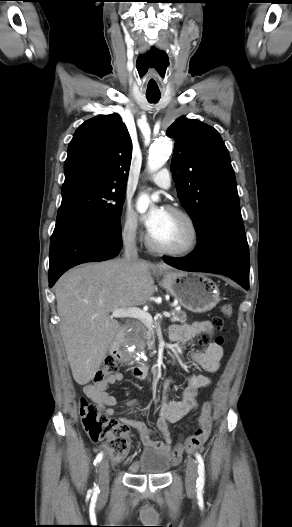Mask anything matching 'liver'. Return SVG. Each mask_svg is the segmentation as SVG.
<instances>
[{
    "mask_svg": "<svg viewBox=\"0 0 292 527\" xmlns=\"http://www.w3.org/2000/svg\"><path fill=\"white\" fill-rule=\"evenodd\" d=\"M150 268L158 273L172 269L164 263L114 259L71 269L57 281L60 334L79 385L94 378L121 327L110 312L144 305L154 294Z\"/></svg>",
    "mask_w": 292,
    "mask_h": 527,
    "instance_id": "liver-1",
    "label": "liver"
}]
</instances>
